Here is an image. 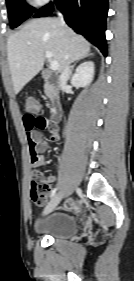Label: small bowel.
Returning <instances> with one entry per match:
<instances>
[{
  "label": "small bowel",
  "instance_id": "small-bowel-1",
  "mask_svg": "<svg viewBox=\"0 0 134 281\" xmlns=\"http://www.w3.org/2000/svg\"><path fill=\"white\" fill-rule=\"evenodd\" d=\"M36 112H28L23 116V124L27 133L29 143L30 162L33 168H39L48 164L45 152L49 148L47 141L42 137L41 130L48 128L50 140L57 143L60 140L59 129L46 118L37 116ZM57 179L55 174L47 177V182L52 184Z\"/></svg>",
  "mask_w": 134,
  "mask_h": 281
}]
</instances>
